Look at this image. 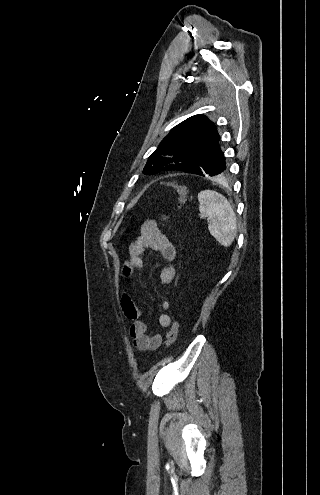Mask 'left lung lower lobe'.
<instances>
[{
  "label": "left lung lower lobe",
  "mask_w": 320,
  "mask_h": 495,
  "mask_svg": "<svg viewBox=\"0 0 320 495\" xmlns=\"http://www.w3.org/2000/svg\"><path fill=\"white\" fill-rule=\"evenodd\" d=\"M228 171L229 167L226 164L224 154L218 143L209 153L205 154L197 164L191 166L184 172L203 177L207 175L223 177Z\"/></svg>",
  "instance_id": "left-lung-lower-lobe-1"
}]
</instances>
